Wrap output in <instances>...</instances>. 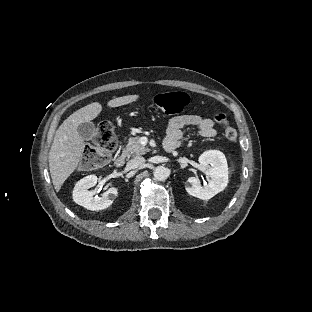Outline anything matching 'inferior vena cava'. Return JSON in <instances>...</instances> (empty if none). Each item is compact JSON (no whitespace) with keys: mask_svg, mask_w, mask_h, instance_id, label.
Here are the masks:
<instances>
[{"mask_svg":"<svg viewBox=\"0 0 312 312\" xmlns=\"http://www.w3.org/2000/svg\"><path fill=\"white\" fill-rule=\"evenodd\" d=\"M145 163V158L141 156L134 157L128 162V167L131 169L138 168Z\"/></svg>","mask_w":312,"mask_h":312,"instance_id":"obj_1","label":"inferior vena cava"}]
</instances>
